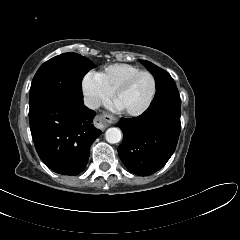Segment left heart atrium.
Returning a JSON list of instances; mask_svg holds the SVG:
<instances>
[{"label": "left heart atrium", "instance_id": "1", "mask_svg": "<svg viewBox=\"0 0 240 240\" xmlns=\"http://www.w3.org/2000/svg\"><path fill=\"white\" fill-rule=\"evenodd\" d=\"M115 108L118 109V110H122V109H125L124 106L117 100L115 102Z\"/></svg>", "mask_w": 240, "mask_h": 240}]
</instances>
